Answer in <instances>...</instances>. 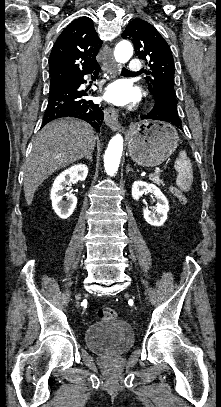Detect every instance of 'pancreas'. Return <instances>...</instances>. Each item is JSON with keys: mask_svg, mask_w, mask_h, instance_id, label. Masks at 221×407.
<instances>
[{"mask_svg": "<svg viewBox=\"0 0 221 407\" xmlns=\"http://www.w3.org/2000/svg\"><path fill=\"white\" fill-rule=\"evenodd\" d=\"M149 179L151 181H153L154 183H156L157 185H161V184L163 185V181L159 178L158 174H151L149 176Z\"/></svg>", "mask_w": 221, "mask_h": 407, "instance_id": "obj_1", "label": "pancreas"}]
</instances>
